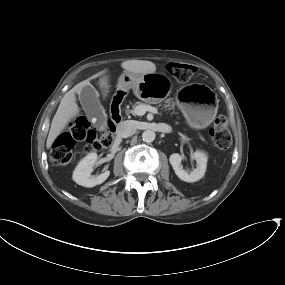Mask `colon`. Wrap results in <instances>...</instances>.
Segmentation results:
<instances>
[{
	"instance_id": "5ec220e1",
	"label": "colon",
	"mask_w": 285,
	"mask_h": 285,
	"mask_svg": "<svg viewBox=\"0 0 285 285\" xmlns=\"http://www.w3.org/2000/svg\"><path fill=\"white\" fill-rule=\"evenodd\" d=\"M169 74L176 80L189 81L195 73V67L190 64L169 63ZM115 126L108 125L106 131H94L85 117H80L71 123L68 129L59 135L53 142L50 160L55 166L71 163L76 159L75 148L77 144L84 143L86 152L101 150L112 142ZM210 138L220 150L226 151L231 145L229 124L224 116H219L210 128Z\"/></svg>"
}]
</instances>
